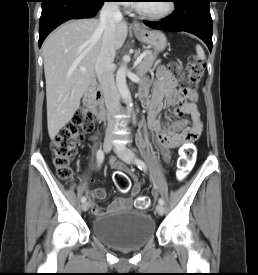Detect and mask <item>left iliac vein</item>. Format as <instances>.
Segmentation results:
<instances>
[{
    "label": "left iliac vein",
    "mask_w": 258,
    "mask_h": 275,
    "mask_svg": "<svg viewBox=\"0 0 258 275\" xmlns=\"http://www.w3.org/2000/svg\"><path fill=\"white\" fill-rule=\"evenodd\" d=\"M115 153L121 158L124 162L128 164H133L135 159V153L128 148H114ZM156 211L159 215H163L165 212L164 206L162 204H158L156 206Z\"/></svg>",
    "instance_id": "1"
}]
</instances>
